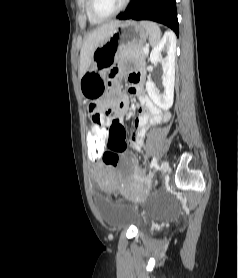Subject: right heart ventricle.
<instances>
[{
	"instance_id": "right-heart-ventricle-1",
	"label": "right heart ventricle",
	"mask_w": 238,
	"mask_h": 278,
	"mask_svg": "<svg viewBox=\"0 0 238 278\" xmlns=\"http://www.w3.org/2000/svg\"><path fill=\"white\" fill-rule=\"evenodd\" d=\"M85 10H86V15H87V18H88V21L90 22V24L96 25V24H98L100 22V21L95 20L91 16V14L89 12V0H85Z\"/></svg>"
}]
</instances>
